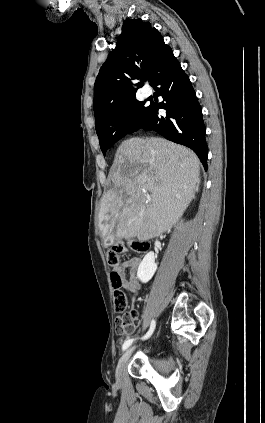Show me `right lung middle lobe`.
I'll use <instances>...</instances> for the list:
<instances>
[{"label": "right lung middle lobe", "instance_id": "1", "mask_svg": "<svg viewBox=\"0 0 265 423\" xmlns=\"http://www.w3.org/2000/svg\"><path fill=\"white\" fill-rule=\"evenodd\" d=\"M149 106L135 96L123 101L95 124L100 147L105 155L118 140L129 134L144 118Z\"/></svg>", "mask_w": 265, "mask_h": 423}]
</instances>
